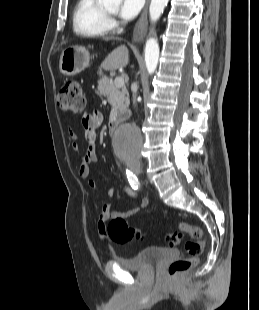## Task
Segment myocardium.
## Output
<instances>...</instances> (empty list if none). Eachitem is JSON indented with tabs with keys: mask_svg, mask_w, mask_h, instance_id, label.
Wrapping results in <instances>:
<instances>
[{
	"mask_svg": "<svg viewBox=\"0 0 259 310\" xmlns=\"http://www.w3.org/2000/svg\"><path fill=\"white\" fill-rule=\"evenodd\" d=\"M105 12V11H104ZM105 14L107 15V17H110L112 16V14L108 13V12H105Z\"/></svg>",
	"mask_w": 259,
	"mask_h": 310,
	"instance_id": "f54148a6",
	"label": "myocardium"
}]
</instances>
